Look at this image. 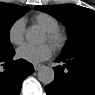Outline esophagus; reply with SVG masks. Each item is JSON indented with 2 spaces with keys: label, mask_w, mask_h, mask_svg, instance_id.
Returning <instances> with one entry per match:
<instances>
[{
  "label": "esophagus",
  "mask_w": 95,
  "mask_h": 95,
  "mask_svg": "<svg viewBox=\"0 0 95 95\" xmlns=\"http://www.w3.org/2000/svg\"><path fill=\"white\" fill-rule=\"evenodd\" d=\"M41 67H42L41 64H35V65H34L35 71H38Z\"/></svg>",
  "instance_id": "1"
}]
</instances>
